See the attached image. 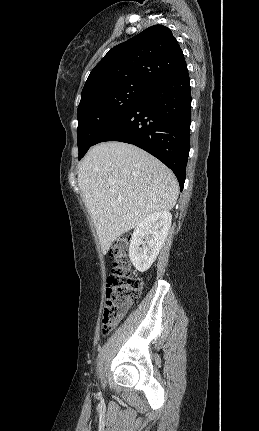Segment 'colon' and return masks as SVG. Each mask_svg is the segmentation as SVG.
<instances>
[{
    "label": "colon",
    "instance_id": "colon-1",
    "mask_svg": "<svg viewBox=\"0 0 259 431\" xmlns=\"http://www.w3.org/2000/svg\"><path fill=\"white\" fill-rule=\"evenodd\" d=\"M129 244L130 237L125 235L118 238L110 250L114 261L106 285V299L102 315L104 334L115 327L130 305L141 295L142 280L132 275L128 263Z\"/></svg>",
    "mask_w": 259,
    "mask_h": 431
}]
</instances>
